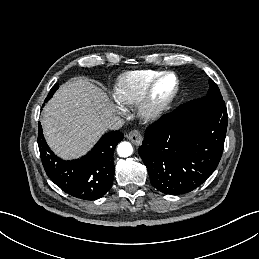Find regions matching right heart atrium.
I'll use <instances>...</instances> for the list:
<instances>
[{
    "mask_svg": "<svg viewBox=\"0 0 259 259\" xmlns=\"http://www.w3.org/2000/svg\"><path fill=\"white\" fill-rule=\"evenodd\" d=\"M118 109H119V111H120V112H122V111H123L122 106H118Z\"/></svg>",
    "mask_w": 259,
    "mask_h": 259,
    "instance_id": "1",
    "label": "right heart atrium"
}]
</instances>
